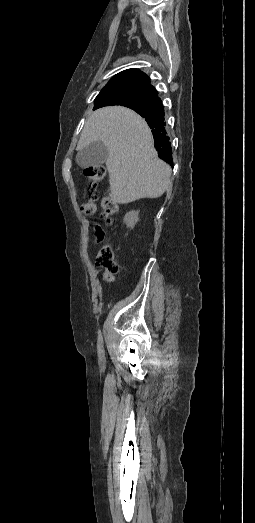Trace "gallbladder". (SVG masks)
Instances as JSON below:
<instances>
[{"label":"gallbladder","instance_id":"obj_1","mask_svg":"<svg viewBox=\"0 0 255 523\" xmlns=\"http://www.w3.org/2000/svg\"><path fill=\"white\" fill-rule=\"evenodd\" d=\"M108 156L109 154L105 144H103L101 140H98V142H91V144H88L83 150H79L76 156V162L80 168H89V166L99 168V166H102V164L106 162Z\"/></svg>","mask_w":255,"mask_h":523}]
</instances>
